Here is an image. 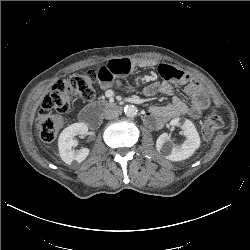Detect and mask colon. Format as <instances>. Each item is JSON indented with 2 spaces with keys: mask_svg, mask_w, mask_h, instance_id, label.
<instances>
[{
  "mask_svg": "<svg viewBox=\"0 0 250 250\" xmlns=\"http://www.w3.org/2000/svg\"><path fill=\"white\" fill-rule=\"evenodd\" d=\"M98 74L94 70L72 75L67 79L57 81L43 98L41 109L36 118V124L41 139L52 142L64 127L65 120L53 112L65 113L70 110L73 99L81 97L90 100L95 96V83ZM223 126L221 117L212 112L201 123V134L204 139H210Z\"/></svg>",
  "mask_w": 250,
  "mask_h": 250,
  "instance_id": "5ec220e1",
  "label": "colon"
}]
</instances>
